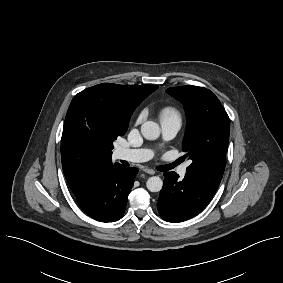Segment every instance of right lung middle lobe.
I'll return each mask as SVG.
<instances>
[{
    "instance_id": "1",
    "label": "right lung middle lobe",
    "mask_w": 283,
    "mask_h": 283,
    "mask_svg": "<svg viewBox=\"0 0 283 283\" xmlns=\"http://www.w3.org/2000/svg\"><path fill=\"white\" fill-rule=\"evenodd\" d=\"M133 111L114 99L82 91L73 98L64 125L82 147L111 155L113 142L126 133Z\"/></svg>"
}]
</instances>
